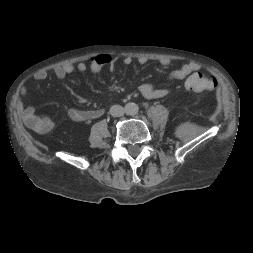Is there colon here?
<instances>
[{"instance_id": "colon-1", "label": "colon", "mask_w": 253, "mask_h": 253, "mask_svg": "<svg viewBox=\"0 0 253 253\" xmlns=\"http://www.w3.org/2000/svg\"><path fill=\"white\" fill-rule=\"evenodd\" d=\"M185 87L195 92H210L217 87V82L202 73H193L187 77Z\"/></svg>"}]
</instances>
